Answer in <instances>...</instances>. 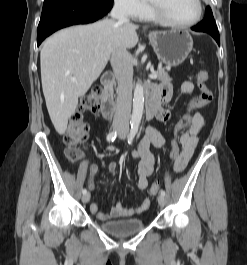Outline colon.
Here are the masks:
<instances>
[{
	"label": "colon",
	"mask_w": 247,
	"mask_h": 265,
	"mask_svg": "<svg viewBox=\"0 0 247 265\" xmlns=\"http://www.w3.org/2000/svg\"><path fill=\"white\" fill-rule=\"evenodd\" d=\"M208 73L201 70L197 75V83L200 93L193 98L189 104L187 112L181 117L174 129L176 137L180 131L186 129L192 120L194 111L197 108L209 104L213 99V94L207 86ZM101 104V91L99 88L91 89L81 100L78 110L69 120L67 130L64 134L65 156L70 162L78 161L82 156L80 144H82L89 135V127L84 119L86 113H96ZM180 154V148L176 139L172 141L169 159L174 167ZM161 187V181L157 179L150 188V195L155 196Z\"/></svg>",
	"instance_id": "colon-1"
}]
</instances>
